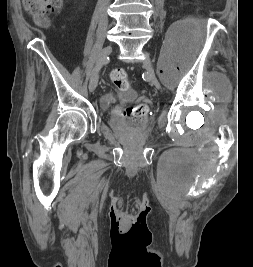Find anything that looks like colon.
I'll return each instance as SVG.
<instances>
[{
	"instance_id": "colon-1",
	"label": "colon",
	"mask_w": 253,
	"mask_h": 267,
	"mask_svg": "<svg viewBox=\"0 0 253 267\" xmlns=\"http://www.w3.org/2000/svg\"><path fill=\"white\" fill-rule=\"evenodd\" d=\"M23 5L30 14L43 17L58 12L62 6V0H23ZM110 78L118 88H129L130 86L128 74L123 69H114ZM145 114L146 109L143 105L129 106L123 111L122 118L125 123L135 129Z\"/></svg>"
}]
</instances>
